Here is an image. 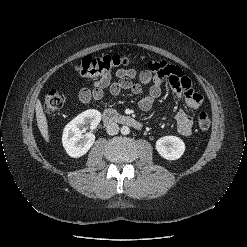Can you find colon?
I'll return each instance as SVG.
<instances>
[{"instance_id": "1", "label": "colon", "mask_w": 247, "mask_h": 247, "mask_svg": "<svg viewBox=\"0 0 247 247\" xmlns=\"http://www.w3.org/2000/svg\"><path fill=\"white\" fill-rule=\"evenodd\" d=\"M131 63L132 60L120 55L87 56L76 66V71L82 77L95 80L110 75L119 69H123V67ZM64 103L65 99L63 95L52 90L45 97L44 111L47 114L55 113L63 107ZM197 124L200 129L207 130L211 124L209 115L204 111L200 112L197 115Z\"/></svg>"}]
</instances>
